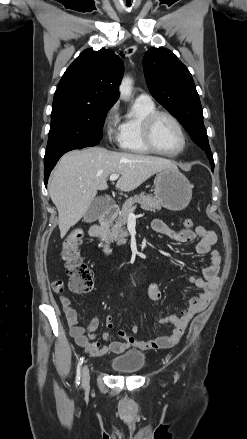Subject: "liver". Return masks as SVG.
Masks as SVG:
<instances>
[{
	"label": "liver",
	"mask_w": 247,
	"mask_h": 439,
	"mask_svg": "<svg viewBox=\"0 0 247 439\" xmlns=\"http://www.w3.org/2000/svg\"><path fill=\"white\" fill-rule=\"evenodd\" d=\"M171 167L176 168V164L168 159L113 152L102 147L64 154L49 183V195L58 210L61 238L85 215L97 191L108 188L110 175H121L116 188L129 192L155 173Z\"/></svg>",
	"instance_id": "liver-1"
}]
</instances>
